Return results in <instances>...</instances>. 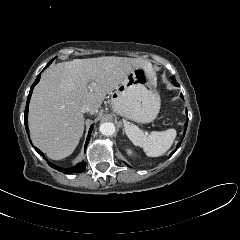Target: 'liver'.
I'll return each instance as SVG.
<instances>
[{
  "label": "liver",
  "mask_w": 240,
  "mask_h": 240,
  "mask_svg": "<svg viewBox=\"0 0 240 240\" xmlns=\"http://www.w3.org/2000/svg\"><path fill=\"white\" fill-rule=\"evenodd\" d=\"M140 66L156 76L149 61L116 56L74 59L47 69L29 106L33 144L53 160L71 155L83 135L82 107L97 113L106 94Z\"/></svg>",
  "instance_id": "liver-1"
}]
</instances>
